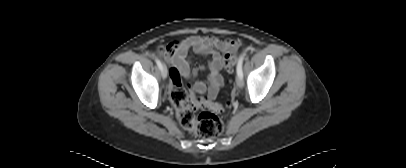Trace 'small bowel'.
I'll use <instances>...</instances> for the list:
<instances>
[{
	"instance_id": "1",
	"label": "small bowel",
	"mask_w": 406,
	"mask_h": 168,
	"mask_svg": "<svg viewBox=\"0 0 406 168\" xmlns=\"http://www.w3.org/2000/svg\"><path fill=\"white\" fill-rule=\"evenodd\" d=\"M237 48L238 43L236 41L221 40L211 36H190L182 41L171 43L163 53L165 60L172 65L170 90L174 84V72L178 82H181V78L196 76L200 71L206 69L208 71V86L202 81H196L194 90L200 94L206 93L208 100L215 99L223 84V78L220 74L222 59L224 55L235 52ZM191 51L200 55H209L210 60L207 65L191 71L188 63V56Z\"/></svg>"
}]
</instances>
